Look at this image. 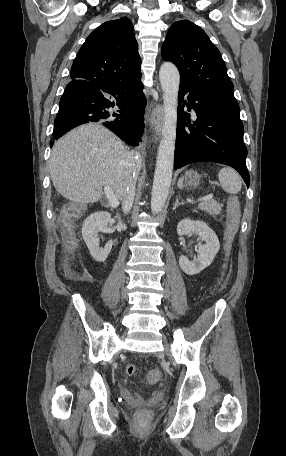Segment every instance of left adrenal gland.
I'll return each instance as SVG.
<instances>
[{
	"mask_svg": "<svg viewBox=\"0 0 286 456\" xmlns=\"http://www.w3.org/2000/svg\"><path fill=\"white\" fill-rule=\"evenodd\" d=\"M184 204V201L182 202H179L178 198H176V201H175V204H174V207H173V210H175L177 208V206L179 205H183Z\"/></svg>",
	"mask_w": 286,
	"mask_h": 456,
	"instance_id": "a2214340",
	"label": "left adrenal gland"
}]
</instances>
